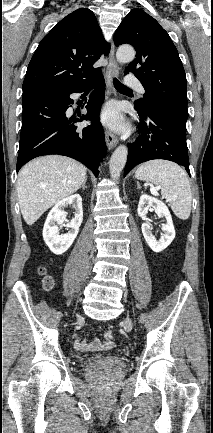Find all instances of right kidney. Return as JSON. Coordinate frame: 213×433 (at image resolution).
<instances>
[{"label":"right kidney","mask_w":213,"mask_h":433,"mask_svg":"<svg viewBox=\"0 0 213 433\" xmlns=\"http://www.w3.org/2000/svg\"><path fill=\"white\" fill-rule=\"evenodd\" d=\"M72 205L75 208L74 218L66 226L69 231L59 235L58 225L66 219L65 207ZM83 220L82 198L79 194L69 196L58 202L49 212L43 228V238L49 249L56 255L65 253L77 237L79 227Z\"/></svg>","instance_id":"obj_1"}]
</instances>
